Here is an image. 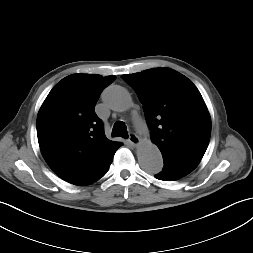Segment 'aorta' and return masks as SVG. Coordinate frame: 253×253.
Instances as JSON below:
<instances>
[{"instance_id": "762f6f07", "label": "aorta", "mask_w": 253, "mask_h": 253, "mask_svg": "<svg viewBox=\"0 0 253 253\" xmlns=\"http://www.w3.org/2000/svg\"><path fill=\"white\" fill-rule=\"evenodd\" d=\"M103 102L114 111H125L131 107V96L121 86L112 85L103 92ZM138 162L148 173H159L163 168V159L158 147L151 142L142 143L137 149Z\"/></svg>"}]
</instances>
